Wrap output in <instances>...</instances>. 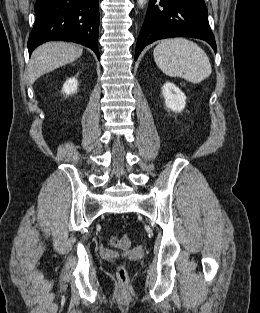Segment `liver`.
<instances>
[{"label": "liver", "mask_w": 260, "mask_h": 313, "mask_svg": "<svg viewBox=\"0 0 260 313\" xmlns=\"http://www.w3.org/2000/svg\"><path fill=\"white\" fill-rule=\"evenodd\" d=\"M82 53L83 49L73 43L48 42L40 45L33 51L29 62L30 83H34L45 73L75 61Z\"/></svg>", "instance_id": "6515ba94"}]
</instances>
